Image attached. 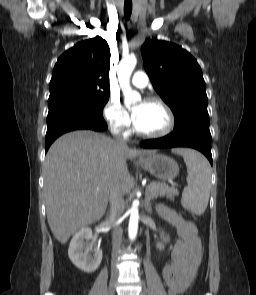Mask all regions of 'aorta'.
<instances>
[{"instance_id":"obj_1","label":"aorta","mask_w":256,"mask_h":295,"mask_svg":"<svg viewBox=\"0 0 256 295\" xmlns=\"http://www.w3.org/2000/svg\"><path fill=\"white\" fill-rule=\"evenodd\" d=\"M137 64L135 56H128L123 58L118 66V80L122 93L124 95V103L129 106L141 100V96L137 91L132 90L130 85L131 74ZM139 201L134 200L130 209V219L128 226V235L131 241L135 240L138 231V212Z\"/></svg>"}]
</instances>
